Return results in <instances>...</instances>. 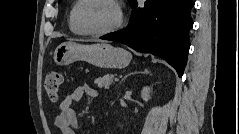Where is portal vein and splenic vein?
Wrapping results in <instances>:
<instances>
[{"mask_svg": "<svg viewBox=\"0 0 239 134\" xmlns=\"http://www.w3.org/2000/svg\"><path fill=\"white\" fill-rule=\"evenodd\" d=\"M119 79L118 78H115V81H118Z\"/></svg>", "mask_w": 239, "mask_h": 134, "instance_id": "1", "label": "portal vein and splenic vein"}]
</instances>
